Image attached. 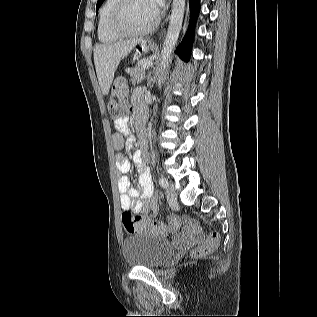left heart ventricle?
Listing matches in <instances>:
<instances>
[{"label": "left heart ventricle", "instance_id": "left-heart-ventricle-1", "mask_svg": "<svg viewBox=\"0 0 317 317\" xmlns=\"http://www.w3.org/2000/svg\"><path fill=\"white\" fill-rule=\"evenodd\" d=\"M157 10L150 0H130L123 15V24L131 30H141L155 19Z\"/></svg>", "mask_w": 317, "mask_h": 317}]
</instances>
